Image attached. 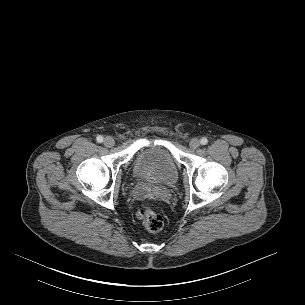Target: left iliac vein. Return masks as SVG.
I'll list each match as a JSON object with an SVG mask.
<instances>
[{
    "label": "left iliac vein",
    "instance_id": "left-iliac-vein-1",
    "mask_svg": "<svg viewBox=\"0 0 305 305\" xmlns=\"http://www.w3.org/2000/svg\"><path fill=\"white\" fill-rule=\"evenodd\" d=\"M189 145L192 149H196L200 146V141L197 138H193V139L190 140Z\"/></svg>",
    "mask_w": 305,
    "mask_h": 305
}]
</instances>
